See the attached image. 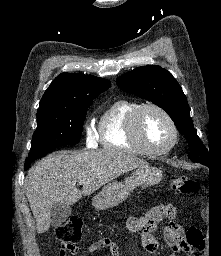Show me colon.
I'll list each match as a JSON object with an SVG mask.
<instances>
[{
  "label": "colon",
  "instance_id": "1",
  "mask_svg": "<svg viewBox=\"0 0 221 256\" xmlns=\"http://www.w3.org/2000/svg\"><path fill=\"white\" fill-rule=\"evenodd\" d=\"M172 188L179 194H195L198 192L199 183L187 176H181L173 180ZM82 222L78 217H71L55 229V238L62 245V252H75L76 245L81 240ZM186 250L189 256H205L206 242L200 229L192 227L186 235Z\"/></svg>",
  "mask_w": 221,
  "mask_h": 256
}]
</instances>
